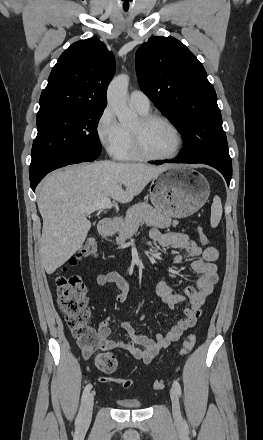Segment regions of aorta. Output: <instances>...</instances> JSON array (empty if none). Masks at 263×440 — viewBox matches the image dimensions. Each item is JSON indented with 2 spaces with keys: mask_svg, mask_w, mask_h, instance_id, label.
<instances>
[{
  "mask_svg": "<svg viewBox=\"0 0 263 440\" xmlns=\"http://www.w3.org/2000/svg\"><path fill=\"white\" fill-rule=\"evenodd\" d=\"M129 76L121 74L115 77L108 86L107 101L121 123L128 124L136 120L137 114L128 107Z\"/></svg>",
  "mask_w": 263,
  "mask_h": 440,
  "instance_id": "aorta-1",
  "label": "aorta"
}]
</instances>
